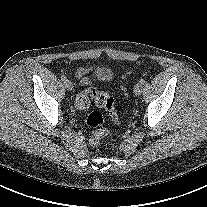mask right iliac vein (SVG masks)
I'll return each mask as SVG.
<instances>
[{
  "instance_id": "obj_1",
  "label": "right iliac vein",
  "mask_w": 207,
  "mask_h": 207,
  "mask_svg": "<svg viewBox=\"0 0 207 207\" xmlns=\"http://www.w3.org/2000/svg\"><path fill=\"white\" fill-rule=\"evenodd\" d=\"M65 87L68 91L73 90V84L70 80L65 81Z\"/></svg>"
}]
</instances>
